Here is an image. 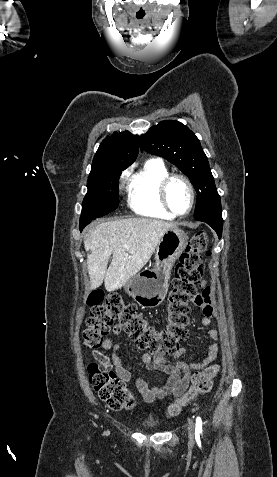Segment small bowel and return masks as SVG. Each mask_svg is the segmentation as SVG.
<instances>
[{"label":"small bowel","mask_w":277,"mask_h":477,"mask_svg":"<svg viewBox=\"0 0 277 477\" xmlns=\"http://www.w3.org/2000/svg\"><path fill=\"white\" fill-rule=\"evenodd\" d=\"M194 304L202 309V323L207 327V334L215 341L219 340V333L211 328L212 319L215 316L214 297L209 287H204ZM123 331L120 325L113 327V334L118 335ZM101 347L111 351V357H107L97 349L92 350V355L99 363L113 366L116 376L124 382L135 381L136 387L143 399L152 403L156 399H163L168 396L180 397L188 388L193 375L201 370L208 368L217 358L219 344L212 343L206 348V356L200 362L186 363L180 360V357L187 353L185 348H179L171 357L166 354L158 353L151 356L149 353L143 354L141 361L149 371H161L168 375L167 381L161 386H150L146 379L134 377L133 368L124 362L121 354V346L113 342L111 338L102 341Z\"/></svg>","instance_id":"c3829d8e"}]
</instances>
